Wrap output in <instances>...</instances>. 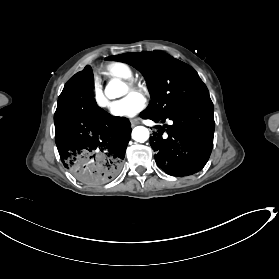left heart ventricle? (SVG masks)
I'll return each mask as SVG.
<instances>
[{
  "label": "left heart ventricle",
  "instance_id": "b2bd125f",
  "mask_svg": "<svg viewBox=\"0 0 279 279\" xmlns=\"http://www.w3.org/2000/svg\"><path fill=\"white\" fill-rule=\"evenodd\" d=\"M131 92L129 91V89L123 85V88H122V93H121V97H126L127 95H129Z\"/></svg>",
  "mask_w": 279,
  "mask_h": 279
}]
</instances>
